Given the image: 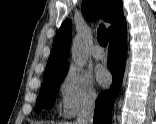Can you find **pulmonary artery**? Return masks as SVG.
<instances>
[{
	"mask_svg": "<svg viewBox=\"0 0 156 124\" xmlns=\"http://www.w3.org/2000/svg\"><path fill=\"white\" fill-rule=\"evenodd\" d=\"M91 54L95 59H102L104 57V51L100 46H94L91 50Z\"/></svg>",
	"mask_w": 156,
	"mask_h": 124,
	"instance_id": "e3ab8cb5",
	"label": "pulmonary artery"
}]
</instances>
